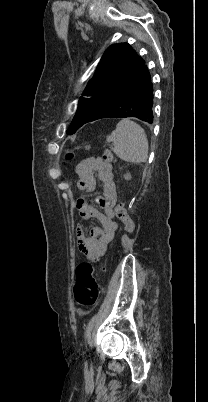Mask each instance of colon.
Returning a JSON list of instances; mask_svg holds the SVG:
<instances>
[{"label":"colon","mask_w":208,"mask_h":402,"mask_svg":"<svg viewBox=\"0 0 208 402\" xmlns=\"http://www.w3.org/2000/svg\"><path fill=\"white\" fill-rule=\"evenodd\" d=\"M82 147L70 148L67 152L69 158L74 157L76 151ZM104 159L108 162L112 161V153L104 150ZM127 176V175H125ZM115 214L117 218L124 224L125 229L131 232L134 228V221L129 216L125 203L122 199L117 201L115 205ZM105 269V268H103ZM95 270L90 262H81L76 268V283L74 286V297L76 303L83 309H91L96 306L101 293V287L95 278Z\"/></svg>","instance_id":"colon-1"}]
</instances>
